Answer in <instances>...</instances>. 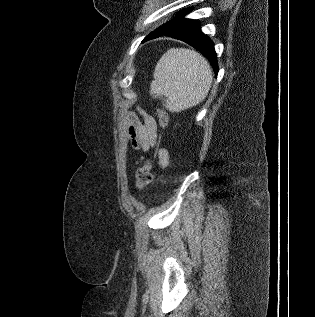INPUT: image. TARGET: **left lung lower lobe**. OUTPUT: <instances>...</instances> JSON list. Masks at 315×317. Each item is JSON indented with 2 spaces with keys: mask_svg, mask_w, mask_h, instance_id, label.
Segmentation results:
<instances>
[{
  "mask_svg": "<svg viewBox=\"0 0 315 317\" xmlns=\"http://www.w3.org/2000/svg\"><path fill=\"white\" fill-rule=\"evenodd\" d=\"M189 12L190 10H188L184 15ZM184 15L164 33L154 37L152 36L149 39L165 35L188 43L209 60L215 74L217 75L219 68L217 65V57L213 42L208 36L202 33L200 23L197 20L186 19L184 18Z\"/></svg>",
  "mask_w": 315,
  "mask_h": 317,
  "instance_id": "left-lung-lower-lobe-1",
  "label": "left lung lower lobe"
}]
</instances>
